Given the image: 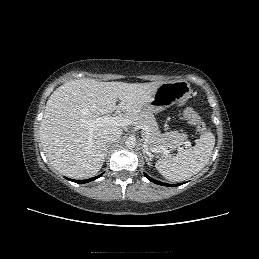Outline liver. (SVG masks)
Here are the masks:
<instances>
[{"label":"liver","mask_w":259,"mask_h":259,"mask_svg":"<svg viewBox=\"0 0 259 259\" xmlns=\"http://www.w3.org/2000/svg\"><path fill=\"white\" fill-rule=\"evenodd\" d=\"M162 82H99L90 78L69 81L49 97L40 124L46 157L62 174L75 179L96 175L106 153L105 134L116 125L90 130L83 121L119 110H141ZM117 99L120 103L116 105Z\"/></svg>","instance_id":"1"}]
</instances>
